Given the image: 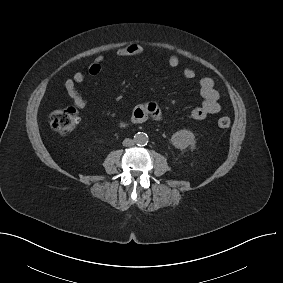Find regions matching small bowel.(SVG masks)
Segmentation results:
<instances>
[{
	"label": "small bowel",
	"mask_w": 283,
	"mask_h": 283,
	"mask_svg": "<svg viewBox=\"0 0 283 283\" xmlns=\"http://www.w3.org/2000/svg\"><path fill=\"white\" fill-rule=\"evenodd\" d=\"M145 52V48L137 43L128 44L119 48L116 51V57L125 58L131 56L141 55ZM104 56H97L89 65L88 71L91 75H98L103 68ZM167 64L171 68H176L179 65V58L175 55H170L167 58ZM182 75L185 79L191 80L195 77V72L191 68H184ZM85 81V73L77 71L70 78L64 82L67 94L72 99L73 103L80 109L87 107V100L77 90V85ZM200 94L202 102L199 106L193 108L191 117L194 120H203L208 115L216 114L221 109V95L215 88L214 81L209 77H204L199 81ZM132 121L135 123H142L148 118L161 119V112L155 102H146L137 105L132 111Z\"/></svg>",
	"instance_id": "c3829d8e"
}]
</instances>
